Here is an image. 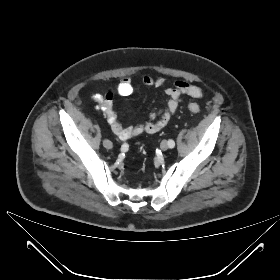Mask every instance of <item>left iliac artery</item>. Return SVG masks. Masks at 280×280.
<instances>
[{
  "label": "left iliac artery",
  "mask_w": 280,
  "mask_h": 280,
  "mask_svg": "<svg viewBox=\"0 0 280 280\" xmlns=\"http://www.w3.org/2000/svg\"><path fill=\"white\" fill-rule=\"evenodd\" d=\"M168 146H169V148H174L175 142L173 140H169L168 141Z\"/></svg>",
  "instance_id": "obj_1"
}]
</instances>
